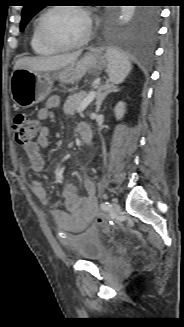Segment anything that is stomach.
<instances>
[{
    "mask_svg": "<svg viewBox=\"0 0 184 327\" xmlns=\"http://www.w3.org/2000/svg\"><path fill=\"white\" fill-rule=\"evenodd\" d=\"M105 63V55L98 51H89L81 59L53 75L24 68L15 69L10 81L11 97L18 107H32L51 93L53 78L63 84H74L87 72L98 73Z\"/></svg>",
    "mask_w": 184,
    "mask_h": 327,
    "instance_id": "stomach-1",
    "label": "stomach"
}]
</instances>
